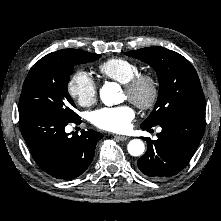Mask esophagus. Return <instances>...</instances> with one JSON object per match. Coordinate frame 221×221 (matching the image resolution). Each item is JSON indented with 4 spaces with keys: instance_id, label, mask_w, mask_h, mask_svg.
<instances>
[{
    "instance_id": "obj_1",
    "label": "esophagus",
    "mask_w": 221,
    "mask_h": 221,
    "mask_svg": "<svg viewBox=\"0 0 221 221\" xmlns=\"http://www.w3.org/2000/svg\"><path fill=\"white\" fill-rule=\"evenodd\" d=\"M115 139L120 140V141H126L129 139L127 136H122V135H114Z\"/></svg>"
}]
</instances>
